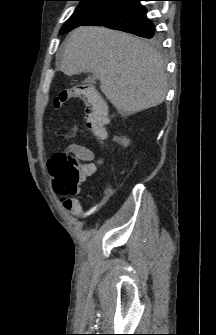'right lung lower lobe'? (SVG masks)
Segmentation results:
<instances>
[{
  "label": "right lung lower lobe",
  "mask_w": 216,
  "mask_h": 335,
  "mask_svg": "<svg viewBox=\"0 0 216 335\" xmlns=\"http://www.w3.org/2000/svg\"><path fill=\"white\" fill-rule=\"evenodd\" d=\"M140 1L142 0H117L83 25L105 26L140 37L153 38L155 26L146 17L147 10Z\"/></svg>",
  "instance_id": "98d812e1"
}]
</instances>
